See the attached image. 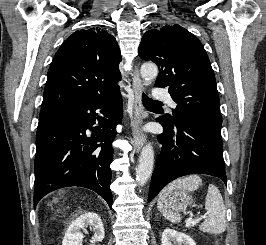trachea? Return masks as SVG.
Returning <instances> with one entry per match:
<instances>
[{"label":"trachea","mask_w":266,"mask_h":245,"mask_svg":"<svg viewBox=\"0 0 266 245\" xmlns=\"http://www.w3.org/2000/svg\"><path fill=\"white\" fill-rule=\"evenodd\" d=\"M143 104L146 105H162L161 102L157 100H153L152 98L147 97V95L143 94Z\"/></svg>","instance_id":"1"}]
</instances>
